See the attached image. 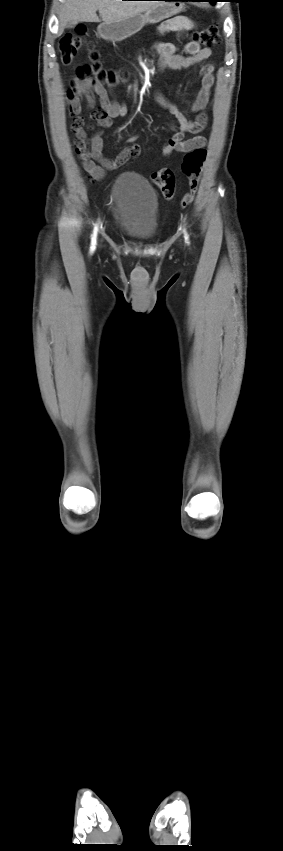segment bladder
I'll use <instances>...</instances> for the list:
<instances>
[{"label":"bladder","instance_id":"bladder-1","mask_svg":"<svg viewBox=\"0 0 283 851\" xmlns=\"http://www.w3.org/2000/svg\"><path fill=\"white\" fill-rule=\"evenodd\" d=\"M112 200L120 229L138 241L152 240L158 228V198L141 176L123 173L112 188Z\"/></svg>","mask_w":283,"mask_h":851}]
</instances>
